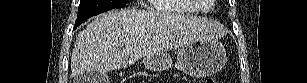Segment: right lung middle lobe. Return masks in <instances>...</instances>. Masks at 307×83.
Masks as SVG:
<instances>
[{
  "mask_svg": "<svg viewBox=\"0 0 307 83\" xmlns=\"http://www.w3.org/2000/svg\"><path fill=\"white\" fill-rule=\"evenodd\" d=\"M126 2V0H81L75 28L94 15L113 8L124 7Z\"/></svg>",
  "mask_w": 307,
  "mask_h": 83,
  "instance_id": "dd1d6c3e",
  "label": "right lung middle lobe"
}]
</instances>
